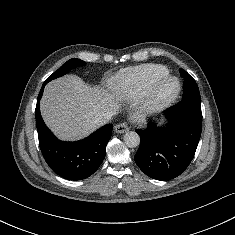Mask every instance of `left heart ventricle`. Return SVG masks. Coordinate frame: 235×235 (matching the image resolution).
<instances>
[{
    "instance_id": "left-heart-ventricle-1",
    "label": "left heart ventricle",
    "mask_w": 235,
    "mask_h": 235,
    "mask_svg": "<svg viewBox=\"0 0 235 235\" xmlns=\"http://www.w3.org/2000/svg\"><path fill=\"white\" fill-rule=\"evenodd\" d=\"M174 87H175V86H174V83H172V82L163 84V85L159 88L158 94H159L160 96H167V95H169V94L173 91Z\"/></svg>"
}]
</instances>
